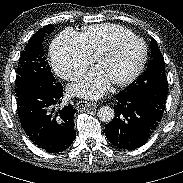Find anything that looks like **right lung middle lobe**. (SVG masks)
Listing matches in <instances>:
<instances>
[{"mask_svg": "<svg viewBox=\"0 0 183 183\" xmlns=\"http://www.w3.org/2000/svg\"><path fill=\"white\" fill-rule=\"evenodd\" d=\"M54 31L49 24L40 28L29 40L19 58L16 75V93L19 96L24 89L36 85H50L55 82L49 64L43 55V40L46 34Z\"/></svg>", "mask_w": 183, "mask_h": 183, "instance_id": "dd1d6c3e", "label": "right lung middle lobe"}]
</instances>
